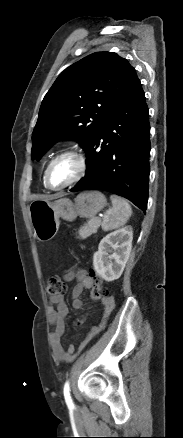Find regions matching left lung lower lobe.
I'll list each match as a JSON object with an SVG mask.
<instances>
[{
    "label": "left lung lower lobe",
    "mask_w": 183,
    "mask_h": 438,
    "mask_svg": "<svg viewBox=\"0 0 183 438\" xmlns=\"http://www.w3.org/2000/svg\"><path fill=\"white\" fill-rule=\"evenodd\" d=\"M149 134L148 107L137 78L95 131L85 149L86 175L70 191H109L127 198L145 212L150 173Z\"/></svg>",
    "instance_id": "obj_1"
}]
</instances>
